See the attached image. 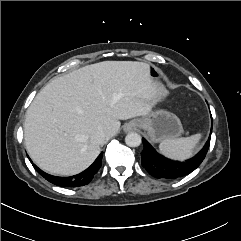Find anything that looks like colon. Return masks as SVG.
Listing matches in <instances>:
<instances>
[{
    "label": "colon",
    "mask_w": 241,
    "mask_h": 241,
    "mask_svg": "<svg viewBox=\"0 0 241 241\" xmlns=\"http://www.w3.org/2000/svg\"><path fill=\"white\" fill-rule=\"evenodd\" d=\"M145 77L149 80H160L163 77V70L154 61H147L145 63Z\"/></svg>",
    "instance_id": "colon-1"
}]
</instances>
